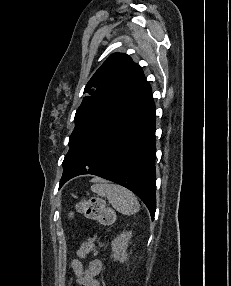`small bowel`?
Instances as JSON below:
<instances>
[{"mask_svg":"<svg viewBox=\"0 0 231 286\" xmlns=\"http://www.w3.org/2000/svg\"><path fill=\"white\" fill-rule=\"evenodd\" d=\"M94 242L95 236L84 241L77 251V258L71 262L72 270L81 286H100V282L96 277L102 270V262L98 258L99 252ZM89 254H93L94 259L84 269L81 259Z\"/></svg>","mask_w":231,"mask_h":286,"instance_id":"obj_1","label":"small bowel"}]
</instances>
